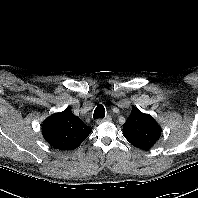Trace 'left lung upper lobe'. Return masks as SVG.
Segmentation results:
<instances>
[{
    "label": "left lung upper lobe",
    "instance_id": "5c2ea615",
    "mask_svg": "<svg viewBox=\"0 0 198 198\" xmlns=\"http://www.w3.org/2000/svg\"><path fill=\"white\" fill-rule=\"evenodd\" d=\"M123 132L133 146L147 150L159 140L162 129L151 115L133 108L123 125Z\"/></svg>",
    "mask_w": 198,
    "mask_h": 198
}]
</instances>
